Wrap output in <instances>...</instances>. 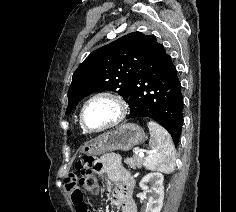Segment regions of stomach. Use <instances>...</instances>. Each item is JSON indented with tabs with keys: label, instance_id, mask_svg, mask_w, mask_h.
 <instances>
[{
	"label": "stomach",
	"instance_id": "1",
	"mask_svg": "<svg viewBox=\"0 0 236 212\" xmlns=\"http://www.w3.org/2000/svg\"><path fill=\"white\" fill-rule=\"evenodd\" d=\"M144 141V130L137 124L127 123L93 139L83 148V152L86 155H100L116 150L129 151Z\"/></svg>",
	"mask_w": 236,
	"mask_h": 212
}]
</instances>
